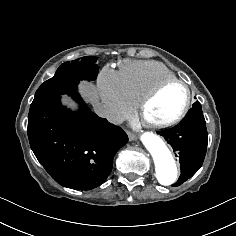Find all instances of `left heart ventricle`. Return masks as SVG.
I'll return each instance as SVG.
<instances>
[{
    "instance_id": "left-heart-ventricle-1",
    "label": "left heart ventricle",
    "mask_w": 236,
    "mask_h": 236,
    "mask_svg": "<svg viewBox=\"0 0 236 236\" xmlns=\"http://www.w3.org/2000/svg\"><path fill=\"white\" fill-rule=\"evenodd\" d=\"M186 101V91L179 84L166 87L145 109L142 118L153 123H164L175 118Z\"/></svg>"
}]
</instances>
